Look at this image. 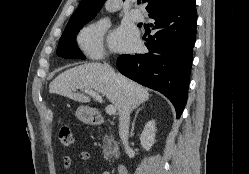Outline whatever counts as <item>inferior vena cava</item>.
Segmentation results:
<instances>
[{
    "mask_svg": "<svg viewBox=\"0 0 249 174\" xmlns=\"http://www.w3.org/2000/svg\"><path fill=\"white\" fill-rule=\"evenodd\" d=\"M130 123V108L127 101L122 98L121 107L119 110V136L125 149L128 148V134Z\"/></svg>",
    "mask_w": 249,
    "mask_h": 174,
    "instance_id": "inferior-vena-cava-1",
    "label": "inferior vena cava"
}]
</instances>
